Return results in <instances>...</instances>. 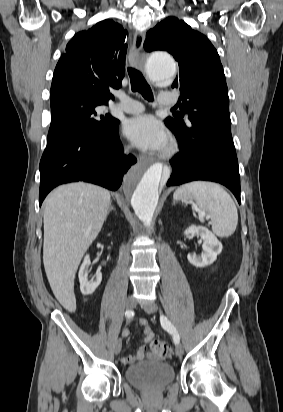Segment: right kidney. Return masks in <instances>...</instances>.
I'll return each mask as SVG.
<instances>
[{
	"mask_svg": "<svg viewBox=\"0 0 283 412\" xmlns=\"http://www.w3.org/2000/svg\"><path fill=\"white\" fill-rule=\"evenodd\" d=\"M90 264V257L89 255H86L79 270L80 290L83 295L93 294V292L100 285L102 280V273L100 271L97 272L95 278H88V269Z\"/></svg>",
	"mask_w": 283,
	"mask_h": 412,
	"instance_id": "obj_1",
	"label": "right kidney"
}]
</instances>
